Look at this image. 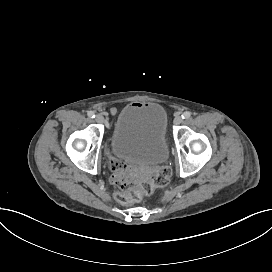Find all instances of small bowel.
Returning a JSON list of instances; mask_svg holds the SVG:
<instances>
[{
  "label": "small bowel",
  "instance_id": "obj_1",
  "mask_svg": "<svg viewBox=\"0 0 272 272\" xmlns=\"http://www.w3.org/2000/svg\"><path fill=\"white\" fill-rule=\"evenodd\" d=\"M110 112H111V114L112 115H114V114H116V109L115 108H111L110 109ZM116 160H118V159H116V158H110V163L112 162V161H116ZM121 161V160H120Z\"/></svg>",
  "mask_w": 272,
  "mask_h": 272
}]
</instances>
